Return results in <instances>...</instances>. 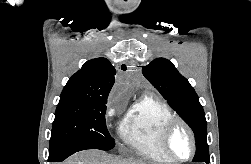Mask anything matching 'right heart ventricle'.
<instances>
[{
  "label": "right heart ventricle",
  "instance_id": "obj_1",
  "mask_svg": "<svg viewBox=\"0 0 251 164\" xmlns=\"http://www.w3.org/2000/svg\"><path fill=\"white\" fill-rule=\"evenodd\" d=\"M175 117L165 102L152 96L136 101L125 114L119 135L124 144L140 156L155 162H173L162 151L160 134L165 123Z\"/></svg>",
  "mask_w": 251,
  "mask_h": 164
}]
</instances>
